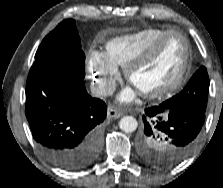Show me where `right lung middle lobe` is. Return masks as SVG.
<instances>
[{
  "label": "right lung middle lobe",
  "instance_id": "1",
  "mask_svg": "<svg viewBox=\"0 0 223 188\" xmlns=\"http://www.w3.org/2000/svg\"><path fill=\"white\" fill-rule=\"evenodd\" d=\"M85 55L81 50L75 20L62 21L40 44L32 66L58 64L73 76L84 79Z\"/></svg>",
  "mask_w": 223,
  "mask_h": 188
}]
</instances>
